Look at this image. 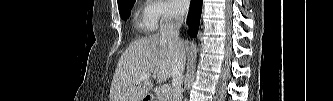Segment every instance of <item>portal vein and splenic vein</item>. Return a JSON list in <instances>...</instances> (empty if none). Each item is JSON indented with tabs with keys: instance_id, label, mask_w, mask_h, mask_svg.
<instances>
[{
	"instance_id": "18ae733b",
	"label": "portal vein and splenic vein",
	"mask_w": 333,
	"mask_h": 101,
	"mask_svg": "<svg viewBox=\"0 0 333 101\" xmlns=\"http://www.w3.org/2000/svg\"><path fill=\"white\" fill-rule=\"evenodd\" d=\"M152 77V75L151 74H144L142 77H141V79H140V81H145V80H148V79H150ZM161 92L162 93H168L169 92V86L168 85H163L162 87H161Z\"/></svg>"
}]
</instances>
